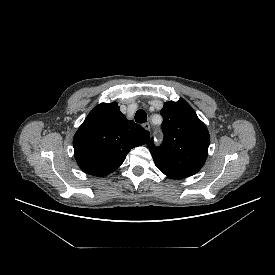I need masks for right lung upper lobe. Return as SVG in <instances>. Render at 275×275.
I'll use <instances>...</instances> for the list:
<instances>
[{
    "mask_svg": "<svg viewBox=\"0 0 275 275\" xmlns=\"http://www.w3.org/2000/svg\"><path fill=\"white\" fill-rule=\"evenodd\" d=\"M150 133L128 121L117 103H101L87 116L74 139V157L79 167L93 176L115 171L128 152L145 144Z\"/></svg>",
    "mask_w": 275,
    "mask_h": 275,
    "instance_id": "1",
    "label": "right lung upper lobe"
}]
</instances>
